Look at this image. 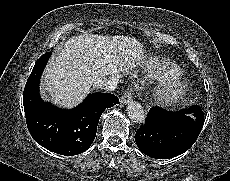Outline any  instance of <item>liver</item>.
I'll return each instance as SVG.
<instances>
[{
	"label": "liver",
	"instance_id": "1",
	"mask_svg": "<svg viewBox=\"0 0 230 181\" xmlns=\"http://www.w3.org/2000/svg\"><path fill=\"white\" fill-rule=\"evenodd\" d=\"M142 59V46L131 38L74 36L52 56L44 71L41 92L54 104L71 108L91 91L94 81L126 73Z\"/></svg>",
	"mask_w": 230,
	"mask_h": 181
}]
</instances>
